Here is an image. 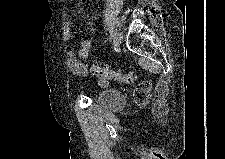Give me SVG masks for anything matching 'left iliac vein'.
Wrapping results in <instances>:
<instances>
[{"instance_id":"1","label":"left iliac vein","mask_w":225,"mask_h":159,"mask_svg":"<svg viewBox=\"0 0 225 159\" xmlns=\"http://www.w3.org/2000/svg\"><path fill=\"white\" fill-rule=\"evenodd\" d=\"M122 38H123L122 33L116 30L115 33L113 34V39L116 46H119L121 44Z\"/></svg>"}]
</instances>
